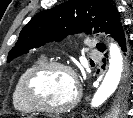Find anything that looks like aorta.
I'll return each mask as SVG.
<instances>
[{"label": "aorta", "instance_id": "obj_1", "mask_svg": "<svg viewBox=\"0 0 133 118\" xmlns=\"http://www.w3.org/2000/svg\"><path fill=\"white\" fill-rule=\"evenodd\" d=\"M109 49V69L92 98V108L101 106L116 91L122 79L124 62L121 50L116 43H110Z\"/></svg>", "mask_w": 133, "mask_h": 118}]
</instances>
